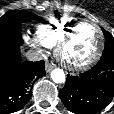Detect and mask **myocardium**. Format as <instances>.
<instances>
[{
	"label": "myocardium",
	"instance_id": "myocardium-1",
	"mask_svg": "<svg viewBox=\"0 0 114 114\" xmlns=\"http://www.w3.org/2000/svg\"><path fill=\"white\" fill-rule=\"evenodd\" d=\"M85 23H90L94 26L97 34H98V45L95 50V52L85 61L82 62H73L70 61L66 55H65V49L72 39L76 29ZM104 48V35L101 27L96 23L95 21L91 19H81L76 22H74L62 35L60 40L58 41L56 48H55V54L58 60L67 68L72 70H85L91 67L94 63H96L99 58L101 57L102 51Z\"/></svg>",
	"mask_w": 114,
	"mask_h": 114
}]
</instances>
